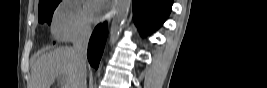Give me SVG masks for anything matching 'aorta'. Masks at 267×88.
<instances>
[{"label":"aorta","instance_id":"762f6f07","mask_svg":"<svg viewBox=\"0 0 267 88\" xmlns=\"http://www.w3.org/2000/svg\"><path fill=\"white\" fill-rule=\"evenodd\" d=\"M131 0H115L113 9V20L110 27L109 43L114 46L117 42L123 24L128 16Z\"/></svg>","mask_w":267,"mask_h":88}]
</instances>
